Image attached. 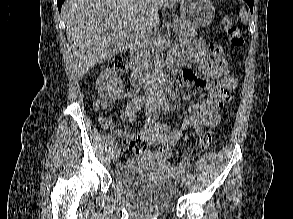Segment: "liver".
Here are the masks:
<instances>
[{
    "mask_svg": "<svg viewBox=\"0 0 293 219\" xmlns=\"http://www.w3.org/2000/svg\"><path fill=\"white\" fill-rule=\"evenodd\" d=\"M62 14L79 78L159 23L157 0H66Z\"/></svg>",
    "mask_w": 293,
    "mask_h": 219,
    "instance_id": "obj_1",
    "label": "liver"
}]
</instances>
